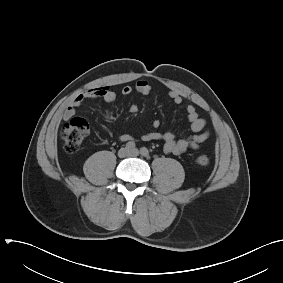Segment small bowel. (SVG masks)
Here are the masks:
<instances>
[{
  "instance_id": "1",
  "label": "small bowel",
  "mask_w": 283,
  "mask_h": 283,
  "mask_svg": "<svg viewBox=\"0 0 283 283\" xmlns=\"http://www.w3.org/2000/svg\"><path fill=\"white\" fill-rule=\"evenodd\" d=\"M133 91L147 95L152 91V86L147 80L140 79L136 82L134 87L130 85L124 86L121 92L123 95L127 96ZM168 96L175 104H181L183 101L182 96L176 91H170ZM85 99H101L105 102L111 103L116 100V93L108 87H99L88 90L75 97L69 103L64 110L63 119L69 120L72 118L76 113V109L83 103ZM138 110V106L135 104L129 107V112L132 114L137 113ZM185 112L190 122V129L193 133L191 136L187 138L177 137L176 134L170 130L161 132L158 130L160 127V122L156 120L153 122V129L143 134L141 139L143 141H163V151L166 154L179 155L189 149H198L201 144L204 143L210 136L209 130L206 129V120L199 115L196 108L191 104L186 105ZM118 139L122 142L134 141V138L128 134H121L118 136Z\"/></svg>"
}]
</instances>
